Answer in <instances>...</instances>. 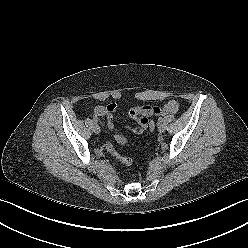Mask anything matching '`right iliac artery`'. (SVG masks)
Instances as JSON below:
<instances>
[{
  "label": "right iliac artery",
  "instance_id": "obj_1",
  "mask_svg": "<svg viewBox=\"0 0 248 248\" xmlns=\"http://www.w3.org/2000/svg\"><path fill=\"white\" fill-rule=\"evenodd\" d=\"M92 122H93V123H96V122H97V119H96V118H93V119H92Z\"/></svg>",
  "mask_w": 248,
  "mask_h": 248
}]
</instances>
